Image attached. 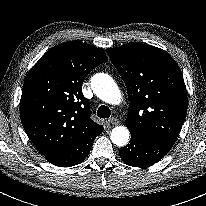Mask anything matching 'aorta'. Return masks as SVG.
Wrapping results in <instances>:
<instances>
[{
	"label": "aorta",
	"mask_w": 206,
	"mask_h": 206,
	"mask_svg": "<svg viewBox=\"0 0 206 206\" xmlns=\"http://www.w3.org/2000/svg\"><path fill=\"white\" fill-rule=\"evenodd\" d=\"M93 92L104 102L115 105L121 101L120 90L108 74L99 73L93 76L91 80ZM129 130L125 126L115 127L110 138L113 144L117 146H125L129 141Z\"/></svg>",
	"instance_id": "obj_1"
}]
</instances>
